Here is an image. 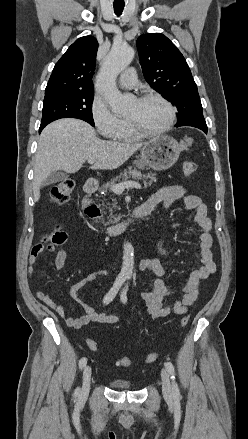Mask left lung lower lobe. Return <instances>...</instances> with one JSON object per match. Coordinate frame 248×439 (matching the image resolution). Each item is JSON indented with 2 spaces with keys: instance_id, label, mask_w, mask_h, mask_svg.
Instances as JSON below:
<instances>
[{
  "instance_id": "1",
  "label": "left lung lower lobe",
  "mask_w": 248,
  "mask_h": 439,
  "mask_svg": "<svg viewBox=\"0 0 248 439\" xmlns=\"http://www.w3.org/2000/svg\"><path fill=\"white\" fill-rule=\"evenodd\" d=\"M199 129H201L202 131H204L205 133H207V126H205V127H199Z\"/></svg>"
}]
</instances>
